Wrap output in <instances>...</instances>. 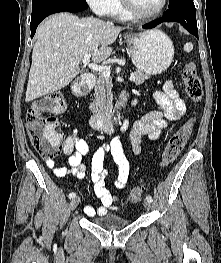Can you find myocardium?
<instances>
[{
	"label": "myocardium",
	"instance_id": "myocardium-1",
	"mask_svg": "<svg viewBox=\"0 0 221 263\" xmlns=\"http://www.w3.org/2000/svg\"><path fill=\"white\" fill-rule=\"evenodd\" d=\"M124 9L126 10L127 13H129L132 17L138 18V19H150L158 16L161 14L164 9L167 6L168 0H162L161 5L159 6L158 9L155 11L149 12V13H144L139 11L132 3L131 0H120Z\"/></svg>",
	"mask_w": 221,
	"mask_h": 263
}]
</instances>
